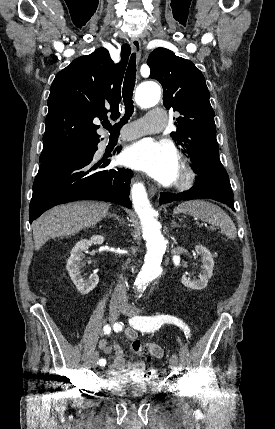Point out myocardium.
<instances>
[{
  "mask_svg": "<svg viewBox=\"0 0 275 429\" xmlns=\"http://www.w3.org/2000/svg\"><path fill=\"white\" fill-rule=\"evenodd\" d=\"M196 179L197 173L194 167L186 159H181L178 175L174 183L175 187L178 190H187L194 185Z\"/></svg>",
  "mask_w": 275,
  "mask_h": 429,
  "instance_id": "myocardium-1",
  "label": "myocardium"
}]
</instances>
